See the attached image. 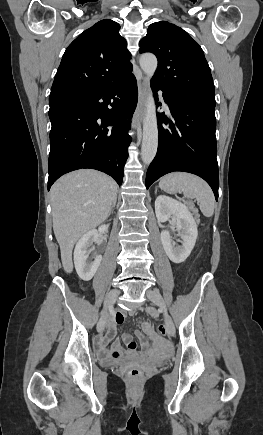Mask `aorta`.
Returning a JSON list of instances; mask_svg holds the SVG:
<instances>
[{
  "mask_svg": "<svg viewBox=\"0 0 263 435\" xmlns=\"http://www.w3.org/2000/svg\"><path fill=\"white\" fill-rule=\"evenodd\" d=\"M140 67L148 78H151L157 68V58L153 54H143L140 57ZM158 147V126L155 102L152 93L148 94L143 121V139L141 147L142 161L149 165L154 159Z\"/></svg>",
  "mask_w": 263,
  "mask_h": 435,
  "instance_id": "aorta-1",
  "label": "aorta"
}]
</instances>
